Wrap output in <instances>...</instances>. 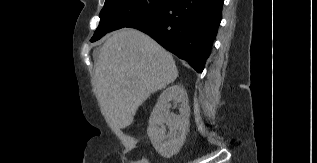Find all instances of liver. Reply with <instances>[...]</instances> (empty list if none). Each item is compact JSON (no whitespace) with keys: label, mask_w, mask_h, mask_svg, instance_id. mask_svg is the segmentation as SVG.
I'll return each mask as SVG.
<instances>
[{"label":"liver","mask_w":317,"mask_h":163,"mask_svg":"<svg viewBox=\"0 0 317 163\" xmlns=\"http://www.w3.org/2000/svg\"><path fill=\"white\" fill-rule=\"evenodd\" d=\"M173 56L143 32L123 28L111 33L100 49L94 71V93L113 130L132 124L147 98L174 82Z\"/></svg>","instance_id":"1"}]
</instances>
